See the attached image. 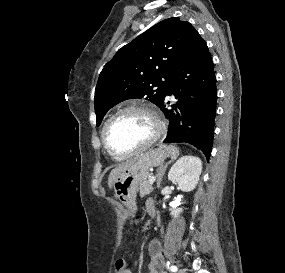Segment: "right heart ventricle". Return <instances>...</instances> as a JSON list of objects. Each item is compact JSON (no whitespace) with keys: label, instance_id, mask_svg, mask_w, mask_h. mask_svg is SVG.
<instances>
[{"label":"right heart ventricle","instance_id":"e07e8e85","mask_svg":"<svg viewBox=\"0 0 285 273\" xmlns=\"http://www.w3.org/2000/svg\"><path fill=\"white\" fill-rule=\"evenodd\" d=\"M113 156V155H112ZM114 158H117V159H119L120 157H116V156H113Z\"/></svg>","mask_w":285,"mask_h":273}]
</instances>
